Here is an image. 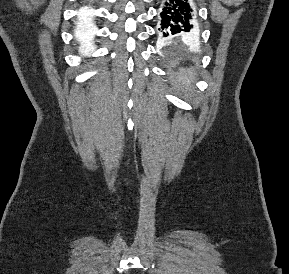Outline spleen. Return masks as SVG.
<instances>
[{"label":"spleen","mask_w":289,"mask_h":274,"mask_svg":"<svg viewBox=\"0 0 289 274\" xmlns=\"http://www.w3.org/2000/svg\"><path fill=\"white\" fill-rule=\"evenodd\" d=\"M194 75L195 73L192 68L183 70L178 77V81L183 83V85L189 86L194 79Z\"/></svg>","instance_id":"spleen-1"}]
</instances>
